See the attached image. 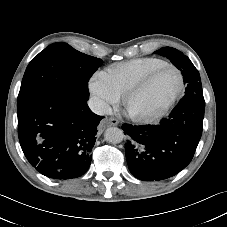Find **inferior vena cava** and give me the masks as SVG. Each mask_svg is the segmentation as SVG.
Here are the masks:
<instances>
[{"mask_svg": "<svg viewBox=\"0 0 227 227\" xmlns=\"http://www.w3.org/2000/svg\"><path fill=\"white\" fill-rule=\"evenodd\" d=\"M88 106L91 111L97 115H106L111 111L110 106L105 101L97 97H91L88 101Z\"/></svg>", "mask_w": 227, "mask_h": 227, "instance_id": "602c4592", "label": "inferior vena cava"}]
</instances>
